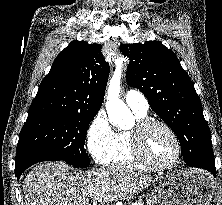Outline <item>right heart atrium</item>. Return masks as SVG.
I'll return each mask as SVG.
<instances>
[{
  "mask_svg": "<svg viewBox=\"0 0 222 205\" xmlns=\"http://www.w3.org/2000/svg\"><path fill=\"white\" fill-rule=\"evenodd\" d=\"M115 141V132L106 115L98 113L86 132L87 147L94 161L99 164L107 162Z\"/></svg>",
  "mask_w": 222,
  "mask_h": 205,
  "instance_id": "d8ad5b80",
  "label": "right heart atrium"
}]
</instances>
